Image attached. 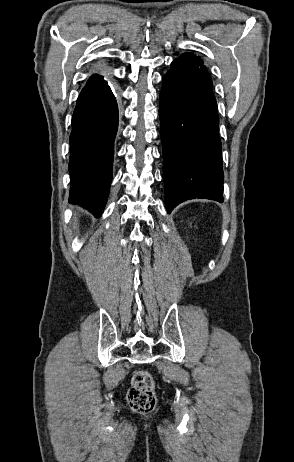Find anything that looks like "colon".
<instances>
[{"label": "colon", "instance_id": "1", "mask_svg": "<svg viewBox=\"0 0 294 462\" xmlns=\"http://www.w3.org/2000/svg\"><path fill=\"white\" fill-rule=\"evenodd\" d=\"M127 400L131 408L139 413H149L155 408L154 380L148 371L139 370L133 375Z\"/></svg>", "mask_w": 294, "mask_h": 462}]
</instances>
